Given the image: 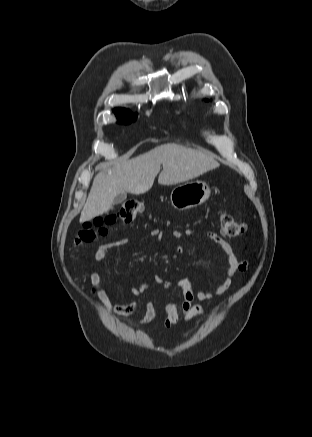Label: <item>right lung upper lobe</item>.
Listing matches in <instances>:
<instances>
[{
    "mask_svg": "<svg viewBox=\"0 0 312 437\" xmlns=\"http://www.w3.org/2000/svg\"><path fill=\"white\" fill-rule=\"evenodd\" d=\"M118 120H126V119H132L134 118V115L129 111L125 109H115L114 110Z\"/></svg>",
    "mask_w": 312,
    "mask_h": 437,
    "instance_id": "obj_1",
    "label": "right lung upper lobe"
}]
</instances>
